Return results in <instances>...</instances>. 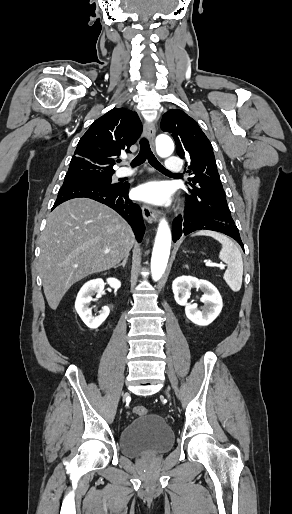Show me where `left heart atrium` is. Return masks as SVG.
Masks as SVG:
<instances>
[{"label":"left heart atrium","instance_id":"1","mask_svg":"<svg viewBox=\"0 0 292 514\" xmlns=\"http://www.w3.org/2000/svg\"><path fill=\"white\" fill-rule=\"evenodd\" d=\"M137 196L149 202H161L168 198L164 184L160 182H148L137 188Z\"/></svg>","mask_w":292,"mask_h":514}]
</instances>
